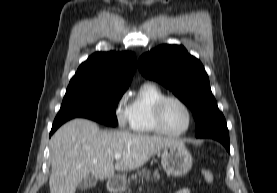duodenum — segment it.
Instances as JSON below:
<instances>
[{"mask_svg":"<svg viewBox=\"0 0 277 193\" xmlns=\"http://www.w3.org/2000/svg\"><path fill=\"white\" fill-rule=\"evenodd\" d=\"M109 190L113 193H117L121 188V182L118 179H111L108 184Z\"/></svg>","mask_w":277,"mask_h":193,"instance_id":"obj_1","label":"duodenum"}]
</instances>
